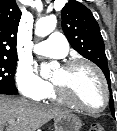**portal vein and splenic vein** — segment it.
<instances>
[{
  "label": "portal vein and splenic vein",
  "instance_id": "1",
  "mask_svg": "<svg viewBox=\"0 0 117 131\" xmlns=\"http://www.w3.org/2000/svg\"><path fill=\"white\" fill-rule=\"evenodd\" d=\"M14 121H9V124H13Z\"/></svg>",
  "mask_w": 117,
  "mask_h": 131
}]
</instances>
